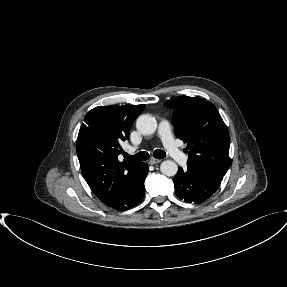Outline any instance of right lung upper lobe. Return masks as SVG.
Masks as SVG:
<instances>
[{
	"mask_svg": "<svg viewBox=\"0 0 287 287\" xmlns=\"http://www.w3.org/2000/svg\"><path fill=\"white\" fill-rule=\"evenodd\" d=\"M145 105L99 106L89 111L79 130L76 150L81 172L92 192L109 204L127 185L141 163L118 160L120 144L129 137Z\"/></svg>",
	"mask_w": 287,
	"mask_h": 287,
	"instance_id": "1",
	"label": "right lung upper lobe"
}]
</instances>
